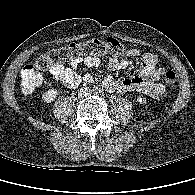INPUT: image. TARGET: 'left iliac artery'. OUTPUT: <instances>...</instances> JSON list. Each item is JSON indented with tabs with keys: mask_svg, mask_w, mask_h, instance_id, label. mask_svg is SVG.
<instances>
[{
	"mask_svg": "<svg viewBox=\"0 0 195 195\" xmlns=\"http://www.w3.org/2000/svg\"><path fill=\"white\" fill-rule=\"evenodd\" d=\"M97 93H99V94H100V93H102V91L99 89Z\"/></svg>",
	"mask_w": 195,
	"mask_h": 195,
	"instance_id": "left-iliac-artery-1",
	"label": "left iliac artery"
}]
</instances>
